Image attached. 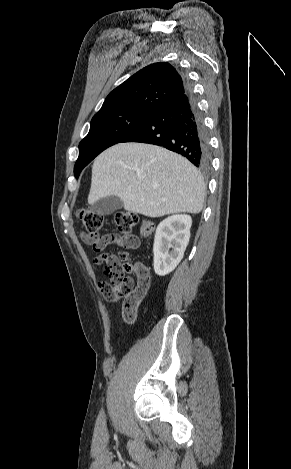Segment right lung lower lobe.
I'll return each instance as SVG.
<instances>
[{"label": "right lung lower lobe", "instance_id": "right-lung-lower-lobe-1", "mask_svg": "<svg viewBox=\"0 0 291 469\" xmlns=\"http://www.w3.org/2000/svg\"><path fill=\"white\" fill-rule=\"evenodd\" d=\"M172 97L121 142H141L165 147L186 157L196 167L210 166L207 132L190 84Z\"/></svg>", "mask_w": 291, "mask_h": 469}]
</instances>
